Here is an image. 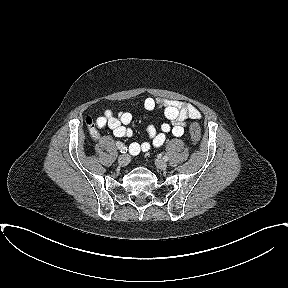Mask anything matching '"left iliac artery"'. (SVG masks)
Segmentation results:
<instances>
[{
  "instance_id": "left-iliac-artery-1",
  "label": "left iliac artery",
  "mask_w": 288,
  "mask_h": 288,
  "mask_svg": "<svg viewBox=\"0 0 288 288\" xmlns=\"http://www.w3.org/2000/svg\"><path fill=\"white\" fill-rule=\"evenodd\" d=\"M163 160H164V161H167V160H168V156L165 155V156L163 157Z\"/></svg>"
}]
</instances>
